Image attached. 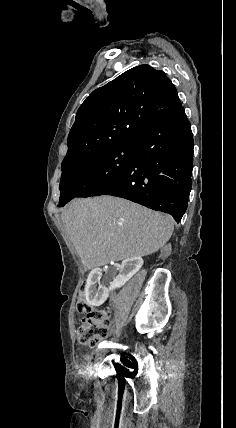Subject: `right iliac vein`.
Returning <instances> with one entry per match:
<instances>
[{
    "instance_id": "right-iliac-vein-1",
    "label": "right iliac vein",
    "mask_w": 236,
    "mask_h": 428,
    "mask_svg": "<svg viewBox=\"0 0 236 428\" xmlns=\"http://www.w3.org/2000/svg\"><path fill=\"white\" fill-rule=\"evenodd\" d=\"M108 353L106 351H99L98 355L99 356H106Z\"/></svg>"
}]
</instances>
